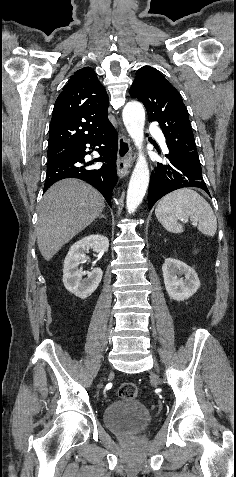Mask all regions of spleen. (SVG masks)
<instances>
[{
  "mask_svg": "<svg viewBox=\"0 0 236 477\" xmlns=\"http://www.w3.org/2000/svg\"><path fill=\"white\" fill-rule=\"evenodd\" d=\"M155 215L161 225L171 233L183 231L180 219L190 220L198 230L213 237L217 230L216 216L208 202L196 191L183 188L164 196L157 204Z\"/></svg>",
  "mask_w": 236,
  "mask_h": 477,
  "instance_id": "obj_1",
  "label": "spleen"
}]
</instances>
